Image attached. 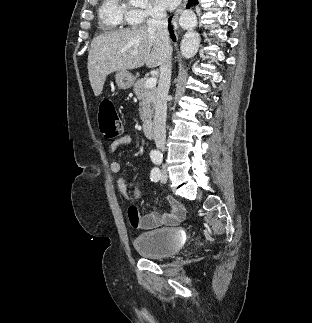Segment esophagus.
<instances>
[{
	"instance_id": "34e87169",
	"label": "esophagus",
	"mask_w": 312,
	"mask_h": 323,
	"mask_svg": "<svg viewBox=\"0 0 312 323\" xmlns=\"http://www.w3.org/2000/svg\"><path fill=\"white\" fill-rule=\"evenodd\" d=\"M186 3H187V0H183L182 5L179 8H177V10H176V12H175V14L173 16L172 24H173V27H174L175 31L177 30V27H178V25H177L178 17L180 15V13L182 12V10L185 8Z\"/></svg>"
}]
</instances>
